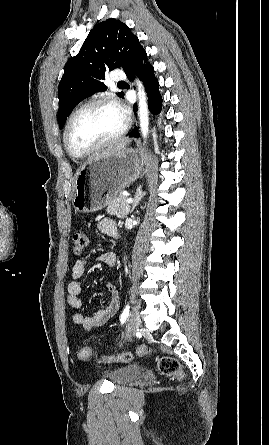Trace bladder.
Masks as SVG:
<instances>
[{
	"instance_id": "31cf9c89",
	"label": "bladder",
	"mask_w": 269,
	"mask_h": 445,
	"mask_svg": "<svg viewBox=\"0 0 269 445\" xmlns=\"http://www.w3.org/2000/svg\"><path fill=\"white\" fill-rule=\"evenodd\" d=\"M142 372V368L138 365H128L107 374L108 379L117 385L126 384L137 378Z\"/></svg>"
}]
</instances>
